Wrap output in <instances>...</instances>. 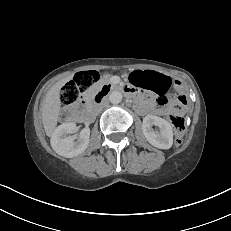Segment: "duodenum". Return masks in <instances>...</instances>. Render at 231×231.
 I'll return each mask as SVG.
<instances>
[{
  "mask_svg": "<svg viewBox=\"0 0 231 231\" xmlns=\"http://www.w3.org/2000/svg\"><path fill=\"white\" fill-rule=\"evenodd\" d=\"M112 86L109 84H104L101 89L99 90V92L93 97V104L92 106H96L98 105L103 98L112 90ZM125 93L128 95H132L134 94L130 89H125ZM144 107V103L141 101L138 105V108H142Z\"/></svg>",
  "mask_w": 231,
  "mask_h": 231,
  "instance_id": "duodenum-1",
  "label": "duodenum"
}]
</instances>
